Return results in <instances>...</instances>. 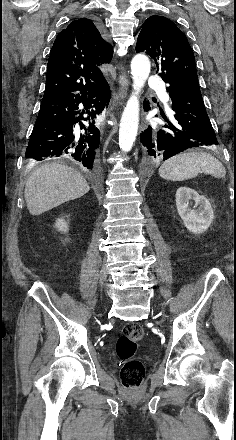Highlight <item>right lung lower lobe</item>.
<instances>
[{"mask_svg":"<svg viewBox=\"0 0 236 440\" xmlns=\"http://www.w3.org/2000/svg\"><path fill=\"white\" fill-rule=\"evenodd\" d=\"M109 100L106 80L84 92L43 97L26 158L68 160L93 173L100 143L95 119Z\"/></svg>","mask_w":236,"mask_h":440,"instance_id":"right-lung-lower-lobe-1","label":"right lung lower lobe"}]
</instances>
